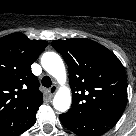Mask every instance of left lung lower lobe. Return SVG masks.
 <instances>
[{
  "instance_id": "left-lung-lower-lobe-1",
  "label": "left lung lower lobe",
  "mask_w": 136,
  "mask_h": 136,
  "mask_svg": "<svg viewBox=\"0 0 136 136\" xmlns=\"http://www.w3.org/2000/svg\"><path fill=\"white\" fill-rule=\"evenodd\" d=\"M62 124L79 136H99L114 126L116 121L110 119H80L59 116Z\"/></svg>"
}]
</instances>
